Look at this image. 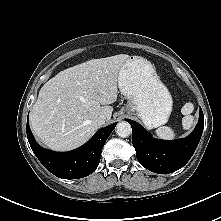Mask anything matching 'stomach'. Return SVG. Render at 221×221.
<instances>
[{
  "label": "stomach",
  "mask_w": 221,
  "mask_h": 221,
  "mask_svg": "<svg viewBox=\"0 0 221 221\" xmlns=\"http://www.w3.org/2000/svg\"><path fill=\"white\" fill-rule=\"evenodd\" d=\"M118 86L128 99L125 106L127 114L137 115L148 128L168 121L173 100L148 60L138 56L129 57L120 69Z\"/></svg>",
  "instance_id": "1"
}]
</instances>
